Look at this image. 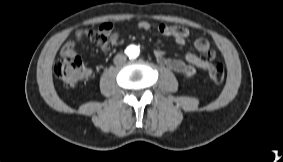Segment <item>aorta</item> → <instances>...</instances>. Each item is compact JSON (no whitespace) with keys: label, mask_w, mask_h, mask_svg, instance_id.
I'll return each instance as SVG.
<instances>
[{"label":"aorta","mask_w":283,"mask_h":162,"mask_svg":"<svg viewBox=\"0 0 283 162\" xmlns=\"http://www.w3.org/2000/svg\"><path fill=\"white\" fill-rule=\"evenodd\" d=\"M126 53L129 58H136L139 55V47L131 45L126 49Z\"/></svg>","instance_id":"762f6f07"}]
</instances>
